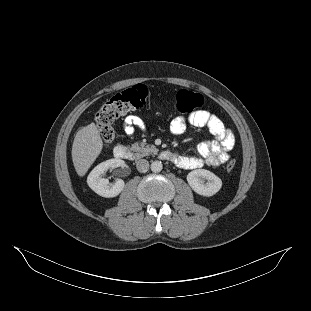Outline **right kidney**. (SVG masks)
I'll return each instance as SVG.
<instances>
[{"label": "right kidney", "mask_w": 311, "mask_h": 311, "mask_svg": "<svg viewBox=\"0 0 311 311\" xmlns=\"http://www.w3.org/2000/svg\"><path fill=\"white\" fill-rule=\"evenodd\" d=\"M126 162L119 158L108 159L98 164L88 175V185L99 195L104 197H113L118 195L124 186L122 179H116L114 182H109L108 178H102L106 170L112 167L125 166Z\"/></svg>", "instance_id": "right-kidney-1"}]
</instances>
